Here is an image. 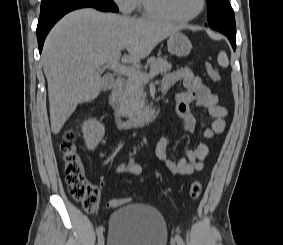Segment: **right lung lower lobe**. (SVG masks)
<instances>
[{"label": "right lung lower lobe", "instance_id": "1", "mask_svg": "<svg viewBox=\"0 0 283 245\" xmlns=\"http://www.w3.org/2000/svg\"><path fill=\"white\" fill-rule=\"evenodd\" d=\"M86 7H92L104 12L118 11L116 4L108 0H76L41 11L36 30L39 52L41 53L42 51L45 38L50 29L61 17L70 11Z\"/></svg>", "mask_w": 283, "mask_h": 245}]
</instances>
